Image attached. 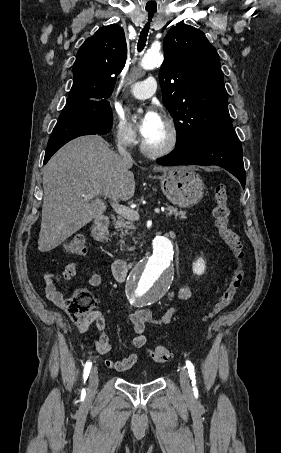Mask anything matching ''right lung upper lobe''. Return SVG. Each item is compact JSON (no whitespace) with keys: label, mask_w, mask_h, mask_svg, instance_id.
Listing matches in <instances>:
<instances>
[{"label":"right lung upper lobe","mask_w":281,"mask_h":453,"mask_svg":"<svg viewBox=\"0 0 281 453\" xmlns=\"http://www.w3.org/2000/svg\"><path fill=\"white\" fill-rule=\"evenodd\" d=\"M124 31L112 24L100 28L80 47L73 66V86L66 105L109 103L116 77L126 62Z\"/></svg>","instance_id":"right-lung-upper-lobe-1"}]
</instances>
